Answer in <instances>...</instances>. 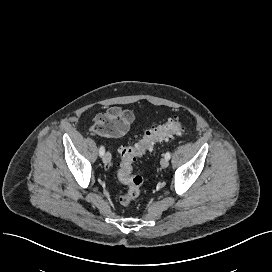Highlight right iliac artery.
I'll return each instance as SVG.
<instances>
[{
  "label": "right iliac artery",
  "instance_id": "82829eb1",
  "mask_svg": "<svg viewBox=\"0 0 272 272\" xmlns=\"http://www.w3.org/2000/svg\"><path fill=\"white\" fill-rule=\"evenodd\" d=\"M104 153H105V148H104V146H100V148H99V155H100V156H103Z\"/></svg>",
  "mask_w": 272,
  "mask_h": 272
}]
</instances>
